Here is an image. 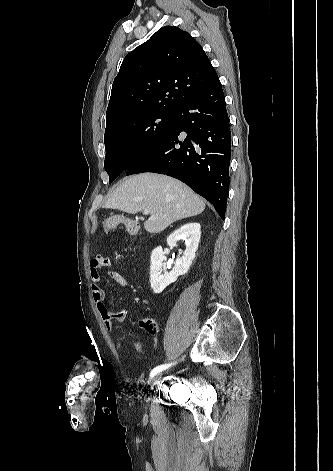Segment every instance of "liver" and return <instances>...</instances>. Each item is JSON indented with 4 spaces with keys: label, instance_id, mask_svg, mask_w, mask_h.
I'll use <instances>...</instances> for the list:
<instances>
[{
    "label": "liver",
    "instance_id": "obj_1",
    "mask_svg": "<svg viewBox=\"0 0 333 471\" xmlns=\"http://www.w3.org/2000/svg\"><path fill=\"white\" fill-rule=\"evenodd\" d=\"M103 207L128 214L149 210L150 217L144 222V228L149 233H159L178 220L202 213L205 203L177 179L142 173L122 182Z\"/></svg>",
    "mask_w": 333,
    "mask_h": 471
}]
</instances>
